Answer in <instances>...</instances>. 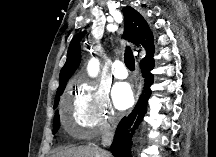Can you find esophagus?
I'll use <instances>...</instances> for the list:
<instances>
[{
	"mask_svg": "<svg viewBox=\"0 0 216 157\" xmlns=\"http://www.w3.org/2000/svg\"><path fill=\"white\" fill-rule=\"evenodd\" d=\"M140 92H141V86H138V89H137V92H136V95H135L136 100H138Z\"/></svg>",
	"mask_w": 216,
	"mask_h": 157,
	"instance_id": "1",
	"label": "esophagus"
}]
</instances>
